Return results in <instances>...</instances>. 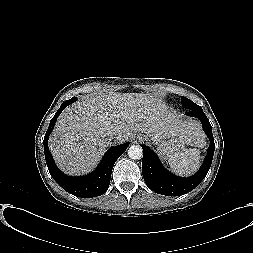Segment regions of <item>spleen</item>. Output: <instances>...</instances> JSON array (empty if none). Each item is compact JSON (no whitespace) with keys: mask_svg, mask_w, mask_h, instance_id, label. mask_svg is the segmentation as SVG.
Here are the masks:
<instances>
[{"mask_svg":"<svg viewBox=\"0 0 253 253\" xmlns=\"http://www.w3.org/2000/svg\"><path fill=\"white\" fill-rule=\"evenodd\" d=\"M170 168L179 175H190L200 166L199 149L183 148L168 157Z\"/></svg>","mask_w":253,"mask_h":253,"instance_id":"spleen-1","label":"spleen"}]
</instances>
